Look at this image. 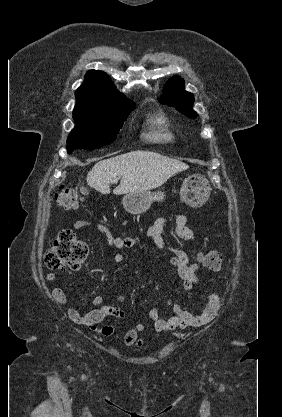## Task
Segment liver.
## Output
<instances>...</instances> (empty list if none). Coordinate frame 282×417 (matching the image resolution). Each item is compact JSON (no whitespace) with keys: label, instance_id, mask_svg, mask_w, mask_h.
<instances>
[{"label":"liver","instance_id":"1","mask_svg":"<svg viewBox=\"0 0 282 417\" xmlns=\"http://www.w3.org/2000/svg\"><path fill=\"white\" fill-rule=\"evenodd\" d=\"M188 164L150 150H132L118 156L99 160L87 174V184L109 194L110 182L121 178L114 194L150 190L164 184L176 172L187 170Z\"/></svg>","mask_w":282,"mask_h":417}]
</instances>
